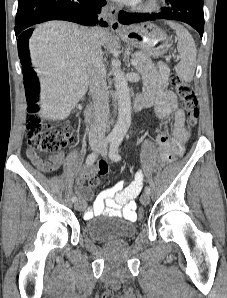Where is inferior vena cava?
<instances>
[{
  "mask_svg": "<svg viewBox=\"0 0 227 298\" xmlns=\"http://www.w3.org/2000/svg\"><path fill=\"white\" fill-rule=\"evenodd\" d=\"M86 69L89 76L90 94L94 104V122L90 127L89 139L105 140L109 118V92L106 83V68L103 62L101 43L98 36L89 32L85 45Z\"/></svg>",
  "mask_w": 227,
  "mask_h": 298,
  "instance_id": "obj_1",
  "label": "inferior vena cava"
}]
</instances>
